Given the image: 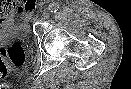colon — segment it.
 Returning a JSON list of instances; mask_svg holds the SVG:
<instances>
[{"mask_svg": "<svg viewBox=\"0 0 131 89\" xmlns=\"http://www.w3.org/2000/svg\"><path fill=\"white\" fill-rule=\"evenodd\" d=\"M24 60L25 48L20 42L16 41L6 48H1L0 78H15L17 75L16 70L23 64Z\"/></svg>", "mask_w": 131, "mask_h": 89, "instance_id": "obj_1", "label": "colon"}]
</instances>
